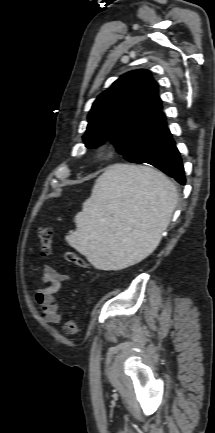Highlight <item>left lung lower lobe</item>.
<instances>
[{"label":"left lung lower lobe","mask_w":215,"mask_h":433,"mask_svg":"<svg viewBox=\"0 0 215 433\" xmlns=\"http://www.w3.org/2000/svg\"><path fill=\"white\" fill-rule=\"evenodd\" d=\"M155 167L163 171L168 176L174 178L180 184H185L184 167L181 161L180 153L170 131H168V134L165 138L159 162Z\"/></svg>","instance_id":"1"}]
</instances>
